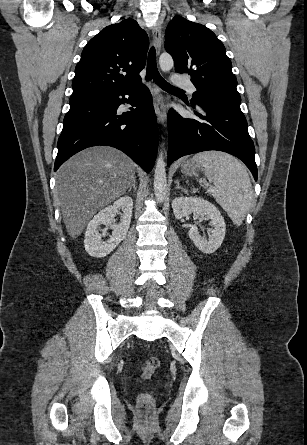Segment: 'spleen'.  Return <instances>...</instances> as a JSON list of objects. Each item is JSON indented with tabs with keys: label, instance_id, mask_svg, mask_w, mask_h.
I'll use <instances>...</instances> for the list:
<instances>
[{
	"label": "spleen",
	"instance_id": "3e777b00",
	"mask_svg": "<svg viewBox=\"0 0 307 445\" xmlns=\"http://www.w3.org/2000/svg\"><path fill=\"white\" fill-rule=\"evenodd\" d=\"M204 166L205 176L216 186L207 188L218 204L226 210L233 225L240 227L250 210L255 206L250 176L246 166L235 156L220 150H205L193 156Z\"/></svg>",
	"mask_w": 307,
	"mask_h": 445
}]
</instances>
